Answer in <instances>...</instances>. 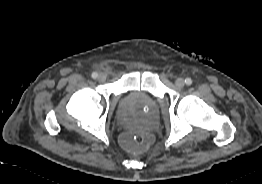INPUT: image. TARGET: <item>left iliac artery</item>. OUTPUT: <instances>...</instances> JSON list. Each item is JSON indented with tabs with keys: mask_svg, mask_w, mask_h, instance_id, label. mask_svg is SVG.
Segmentation results:
<instances>
[{
	"mask_svg": "<svg viewBox=\"0 0 262 184\" xmlns=\"http://www.w3.org/2000/svg\"><path fill=\"white\" fill-rule=\"evenodd\" d=\"M185 83H186L187 85H191V84H192V79H191V78H186V79H185Z\"/></svg>",
	"mask_w": 262,
	"mask_h": 184,
	"instance_id": "44dca946",
	"label": "left iliac artery"
}]
</instances>
